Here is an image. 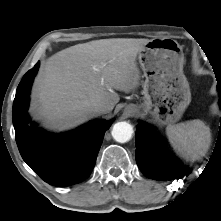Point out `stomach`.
<instances>
[{
  "mask_svg": "<svg viewBox=\"0 0 221 221\" xmlns=\"http://www.w3.org/2000/svg\"><path fill=\"white\" fill-rule=\"evenodd\" d=\"M138 59L145 77L139 114L151 116L159 125L176 123L191 101L182 46L171 38H155L139 52Z\"/></svg>",
  "mask_w": 221,
  "mask_h": 221,
  "instance_id": "1",
  "label": "stomach"
}]
</instances>
